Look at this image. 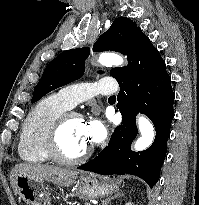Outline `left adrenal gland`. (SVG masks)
Returning <instances> with one entry per match:
<instances>
[{
	"label": "left adrenal gland",
	"instance_id": "obj_1",
	"mask_svg": "<svg viewBox=\"0 0 199 205\" xmlns=\"http://www.w3.org/2000/svg\"><path fill=\"white\" fill-rule=\"evenodd\" d=\"M123 192H117L114 196H111V197H109V198H107L103 203H102V205H108V203L112 200V199H114V198H117V197H120V196H123Z\"/></svg>",
	"mask_w": 199,
	"mask_h": 205
}]
</instances>
